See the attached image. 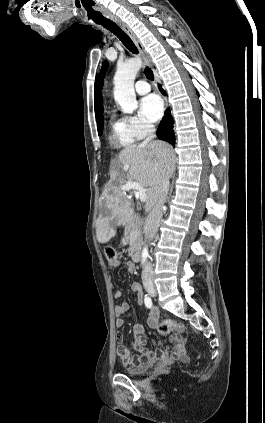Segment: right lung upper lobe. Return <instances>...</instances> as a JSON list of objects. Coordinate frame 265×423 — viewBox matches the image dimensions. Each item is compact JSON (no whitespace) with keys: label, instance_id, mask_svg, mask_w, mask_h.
Segmentation results:
<instances>
[{"label":"right lung upper lobe","instance_id":"right-lung-upper-lobe-1","mask_svg":"<svg viewBox=\"0 0 265 423\" xmlns=\"http://www.w3.org/2000/svg\"><path fill=\"white\" fill-rule=\"evenodd\" d=\"M94 99H95V115L97 121L102 117L103 114V100L98 87V77L95 80L94 87Z\"/></svg>","mask_w":265,"mask_h":423}]
</instances>
